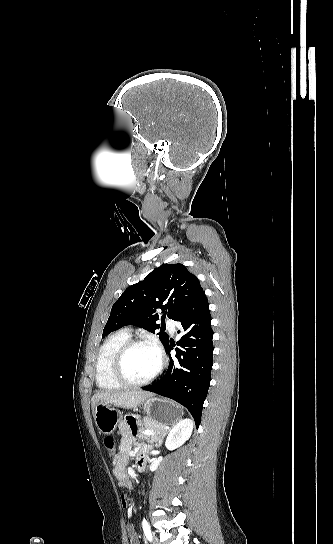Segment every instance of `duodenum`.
<instances>
[{"instance_id": "1", "label": "duodenum", "mask_w": 333, "mask_h": 544, "mask_svg": "<svg viewBox=\"0 0 333 544\" xmlns=\"http://www.w3.org/2000/svg\"><path fill=\"white\" fill-rule=\"evenodd\" d=\"M147 454L145 451H140L136 458V469L143 471L147 466Z\"/></svg>"}]
</instances>
